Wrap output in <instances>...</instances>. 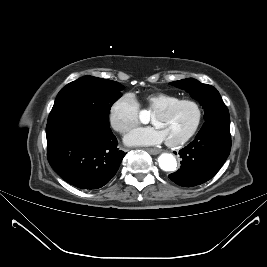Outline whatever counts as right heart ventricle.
Wrapping results in <instances>:
<instances>
[{
  "label": "right heart ventricle",
  "instance_id": "e07e8e85",
  "mask_svg": "<svg viewBox=\"0 0 267 267\" xmlns=\"http://www.w3.org/2000/svg\"><path fill=\"white\" fill-rule=\"evenodd\" d=\"M180 99L178 96L174 94L157 92L152 93L146 96L145 105L151 111H155L158 108H161L169 103H172L176 100Z\"/></svg>",
  "mask_w": 267,
  "mask_h": 267
}]
</instances>
